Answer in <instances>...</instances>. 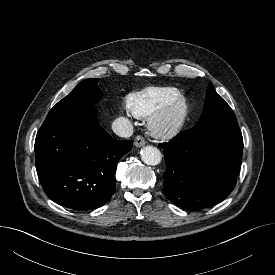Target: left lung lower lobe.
<instances>
[{
  "mask_svg": "<svg viewBox=\"0 0 275 275\" xmlns=\"http://www.w3.org/2000/svg\"><path fill=\"white\" fill-rule=\"evenodd\" d=\"M159 146L166 162L163 191L176 206L210 207L234 189L242 163L240 130L207 131L197 123Z\"/></svg>",
  "mask_w": 275,
  "mask_h": 275,
  "instance_id": "1",
  "label": "left lung lower lobe"
}]
</instances>
